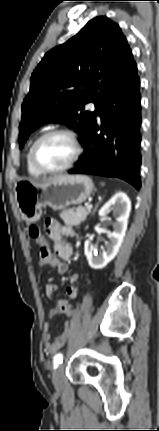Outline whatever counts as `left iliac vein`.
<instances>
[{"label": "left iliac vein", "mask_w": 159, "mask_h": 431, "mask_svg": "<svg viewBox=\"0 0 159 431\" xmlns=\"http://www.w3.org/2000/svg\"><path fill=\"white\" fill-rule=\"evenodd\" d=\"M53 385L56 390H60L63 386L64 380V365L60 364L53 372Z\"/></svg>", "instance_id": "1"}]
</instances>
